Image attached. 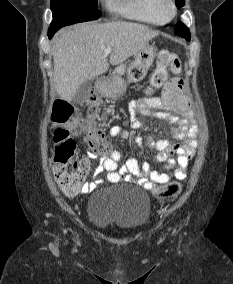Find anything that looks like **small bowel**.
Wrapping results in <instances>:
<instances>
[{
  "label": "small bowel",
  "mask_w": 233,
  "mask_h": 284,
  "mask_svg": "<svg viewBox=\"0 0 233 284\" xmlns=\"http://www.w3.org/2000/svg\"><path fill=\"white\" fill-rule=\"evenodd\" d=\"M131 125L134 128L142 126L138 115L164 119L171 125V135L179 140L181 144H171L168 139H150L149 144L156 151V158L159 161H166L169 167H174L173 172H158L153 170L147 162L141 165L136 158L126 160L123 166L119 167L121 154L118 151H110L100 158V171L106 172V178L110 183L120 181L135 182L147 190L156 186L166 185L173 180L186 178V168L194 157L197 147V126L193 121L191 113V102L187 94L185 82L180 78L170 80L164 87L159 98H141L132 101L128 107ZM112 137L127 139L129 132L118 125L109 128ZM137 146H142V138L135 139ZM134 150H132L133 152ZM89 158H96L93 152L88 153ZM88 164L87 159H83ZM98 182H89L80 189L81 193H88L97 187Z\"/></svg>",
  "instance_id": "obj_1"
}]
</instances>
